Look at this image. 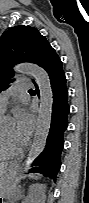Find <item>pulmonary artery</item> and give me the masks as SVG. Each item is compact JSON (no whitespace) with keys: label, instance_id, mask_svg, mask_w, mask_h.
<instances>
[{"label":"pulmonary artery","instance_id":"obj_1","mask_svg":"<svg viewBox=\"0 0 89 203\" xmlns=\"http://www.w3.org/2000/svg\"><path fill=\"white\" fill-rule=\"evenodd\" d=\"M34 85L31 81L22 79L18 80L14 87H11L1 98H0V112L5 110L9 97L15 92H26L33 88Z\"/></svg>","mask_w":89,"mask_h":203}]
</instances>
